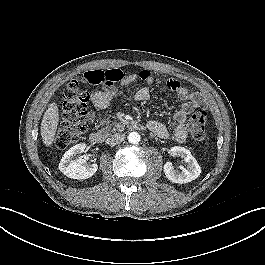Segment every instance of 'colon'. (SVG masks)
I'll use <instances>...</instances> for the list:
<instances>
[{"mask_svg":"<svg viewBox=\"0 0 265 265\" xmlns=\"http://www.w3.org/2000/svg\"><path fill=\"white\" fill-rule=\"evenodd\" d=\"M119 71H93L87 74L89 84H109L116 82ZM148 71L139 72L144 77ZM90 100L89 92L78 80H72L63 92V106L55 144L59 149H64L77 142L81 133L86 128L87 103ZM208 113L203 109L196 110L190 117V131L195 140L203 141L206 138Z\"/></svg>","mask_w":265,"mask_h":265,"instance_id":"5ec220e1","label":"colon"}]
</instances>
